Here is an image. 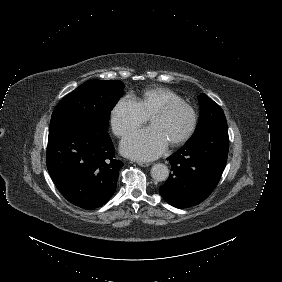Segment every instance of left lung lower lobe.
<instances>
[{"instance_id": "0a47b994", "label": "left lung lower lobe", "mask_w": 282, "mask_h": 282, "mask_svg": "<svg viewBox=\"0 0 282 282\" xmlns=\"http://www.w3.org/2000/svg\"><path fill=\"white\" fill-rule=\"evenodd\" d=\"M228 149L227 124L195 134L168 158L172 173L159 188L161 196L177 208H188L204 201L221 178Z\"/></svg>"}]
</instances>
